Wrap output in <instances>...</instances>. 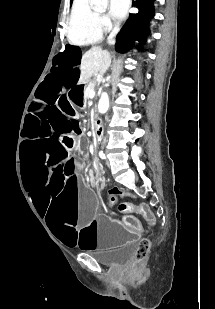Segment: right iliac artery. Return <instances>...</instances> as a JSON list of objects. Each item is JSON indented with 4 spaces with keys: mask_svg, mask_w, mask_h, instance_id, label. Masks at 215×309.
I'll list each match as a JSON object with an SVG mask.
<instances>
[{
    "mask_svg": "<svg viewBox=\"0 0 215 309\" xmlns=\"http://www.w3.org/2000/svg\"><path fill=\"white\" fill-rule=\"evenodd\" d=\"M99 156L102 158V159H105L106 157H105V154L103 153V151H101L100 153H99Z\"/></svg>",
    "mask_w": 215,
    "mask_h": 309,
    "instance_id": "obj_1",
    "label": "right iliac artery"
}]
</instances>
